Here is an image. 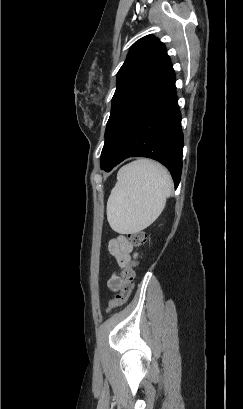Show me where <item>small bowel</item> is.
Here are the masks:
<instances>
[{"instance_id":"small-bowel-1","label":"small bowel","mask_w":243,"mask_h":409,"mask_svg":"<svg viewBox=\"0 0 243 409\" xmlns=\"http://www.w3.org/2000/svg\"><path fill=\"white\" fill-rule=\"evenodd\" d=\"M108 250L110 254L116 259L120 267H124L128 264L133 251V246L129 243L124 235H119L117 238L112 239L108 244ZM121 278L112 274L108 279L107 285L111 290H117L120 287Z\"/></svg>"}]
</instances>
